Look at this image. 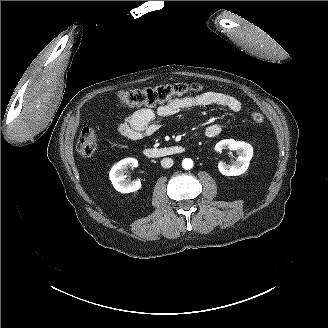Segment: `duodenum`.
<instances>
[{"label":"duodenum","instance_id":"1","mask_svg":"<svg viewBox=\"0 0 328 328\" xmlns=\"http://www.w3.org/2000/svg\"><path fill=\"white\" fill-rule=\"evenodd\" d=\"M184 151L185 149L182 146L174 145L159 148H146L143 150V154L147 158L155 159L179 155Z\"/></svg>","mask_w":328,"mask_h":328}]
</instances>
